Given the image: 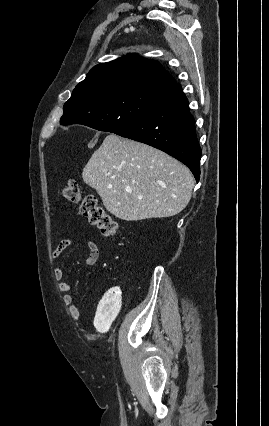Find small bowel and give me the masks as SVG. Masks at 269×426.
<instances>
[{
	"label": "small bowel",
	"mask_w": 269,
	"mask_h": 426,
	"mask_svg": "<svg viewBox=\"0 0 269 426\" xmlns=\"http://www.w3.org/2000/svg\"><path fill=\"white\" fill-rule=\"evenodd\" d=\"M73 243H74L73 239H70V238L62 239L58 243L54 251L52 252V257L54 259L58 258L67 248L72 246ZM86 246H87V253L85 257V263L89 266L95 265L99 258L98 246L92 240L87 241ZM64 275H65V272L63 267L59 266L55 269L54 277L58 283V289L60 292L64 293L63 303L65 306H67L70 309L71 314L73 316H77L79 315V309L75 305L74 297L70 293L71 286L68 282L64 280Z\"/></svg>",
	"instance_id": "small-bowel-1"
}]
</instances>
